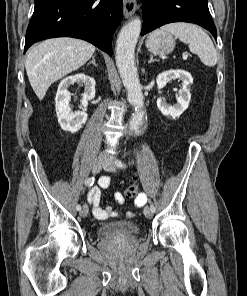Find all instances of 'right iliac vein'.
Returning a JSON list of instances; mask_svg holds the SVG:
<instances>
[{"instance_id":"63e3f726","label":"right iliac vein","mask_w":247,"mask_h":296,"mask_svg":"<svg viewBox=\"0 0 247 296\" xmlns=\"http://www.w3.org/2000/svg\"><path fill=\"white\" fill-rule=\"evenodd\" d=\"M104 162H105V158L102 157V156L98 157V158L94 161V164H93V173H94V174L98 173V172L101 170V168H102ZM80 215H81L82 217H86V216L88 215V206H87V205H84V206L82 207V209H81V211H80Z\"/></svg>"}]
</instances>
